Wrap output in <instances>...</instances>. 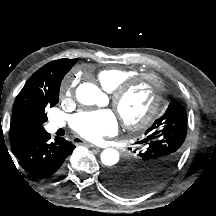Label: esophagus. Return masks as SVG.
Wrapping results in <instances>:
<instances>
[{"mask_svg": "<svg viewBox=\"0 0 216 216\" xmlns=\"http://www.w3.org/2000/svg\"><path fill=\"white\" fill-rule=\"evenodd\" d=\"M73 142H74V143H77V144H79V143L81 142L83 145H85V146H87V147H90V148H98L96 145H94V144H92V143H90V142H88V141H86V140H83V139H81V138H79V137L73 138Z\"/></svg>", "mask_w": 216, "mask_h": 216, "instance_id": "esophagus-1", "label": "esophagus"}]
</instances>
